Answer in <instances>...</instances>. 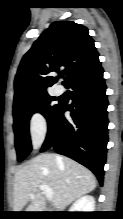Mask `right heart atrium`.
<instances>
[{"instance_id":"obj_1","label":"right heart atrium","mask_w":123,"mask_h":219,"mask_svg":"<svg viewBox=\"0 0 123 219\" xmlns=\"http://www.w3.org/2000/svg\"><path fill=\"white\" fill-rule=\"evenodd\" d=\"M47 133V121L41 112H34L29 119V136L31 143L37 147L42 143Z\"/></svg>"}]
</instances>
